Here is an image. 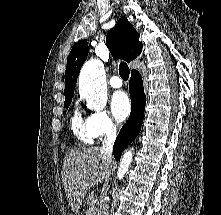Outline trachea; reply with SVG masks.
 Masks as SVG:
<instances>
[{
  "label": "trachea",
  "instance_id": "1",
  "mask_svg": "<svg viewBox=\"0 0 221 215\" xmlns=\"http://www.w3.org/2000/svg\"><path fill=\"white\" fill-rule=\"evenodd\" d=\"M129 67L126 63L121 62L119 65V74L123 80H128L129 78Z\"/></svg>",
  "mask_w": 221,
  "mask_h": 215
}]
</instances>
